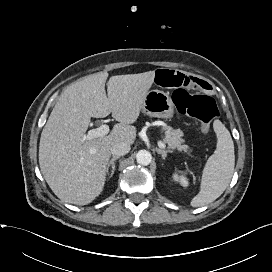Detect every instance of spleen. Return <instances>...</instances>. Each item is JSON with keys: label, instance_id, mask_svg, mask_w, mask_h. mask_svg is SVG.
Masks as SVG:
<instances>
[{"label": "spleen", "instance_id": "1", "mask_svg": "<svg viewBox=\"0 0 272 272\" xmlns=\"http://www.w3.org/2000/svg\"><path fill=\"white\" fill-rule=\"evenodd\" d=\"M213 129L217 136V148L203 169L200 191L191 200L192 207L207 205L220 197L234 172V143L230 132L219 120L213 122Z\"/></svg>", "mask_w": 272, "mask_h": 272}]
</instances>
